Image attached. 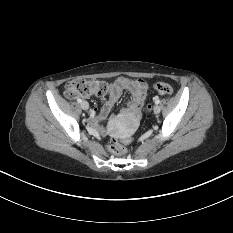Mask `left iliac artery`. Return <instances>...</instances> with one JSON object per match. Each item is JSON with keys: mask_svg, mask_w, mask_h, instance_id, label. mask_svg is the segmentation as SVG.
Listing matches in <instances>:
<instances>
[{"mask_svg": "<svg viewBox=\"0 0 233 233\" xmlns=\"http://www.w3.org/2000/svg\"><path fill=\"white\" fill-rule=\"evenodd\" d=\"M155 103H156V104H159V103H160V100H159V99H156V100H155Z\"/></svg>", "mask_w": 233, "mask_h": 233, "instance_id": "1", "label": "left iliac artery"}]
</instances>
